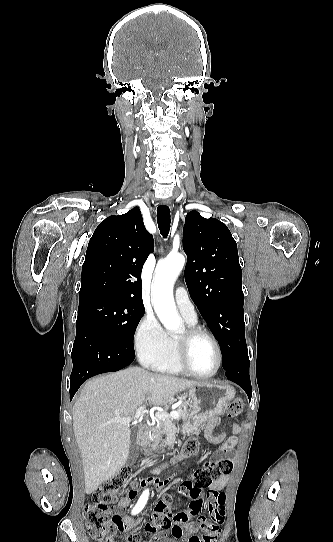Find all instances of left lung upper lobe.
<instances>
[{
  "instance_id": "5c2ea615",
  "label": "left lung upper lobe",
  "mask_w": 333,
  "mask_h": 542,
  "mask_svg": "<svg viewBox=\"0 0 333 542\" xmlns=\"http://www.w3.org/2000/svg\"><path fill=\"white\" fill-rule=\"evenodd\" d=\"M183 249L190 296L218 340L225 370L247 352L236 241L224 223L193 210L186 216Z\"/></svg>"
}]
</instances>
